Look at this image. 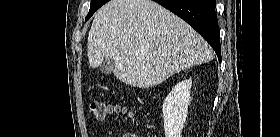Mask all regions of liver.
I'll return each instance as SVG.
<instances>
[{
    "label": "liver",
    "mask_w": 280,
    "mask_h": 137,
    "mask_svg": "<svg viewBox=\"0 0 280 137\" xmlns=\"http://www.w3.org/2000/svg\"><path fill=\"white\" fill-rule=\"evenodd\" d=\"M92 68L105 57L123 83L148 88L213 59L209 44L185 21L152 0H111L95 14L87 42Z\"/></svg>",
    "instance_id": "liver-1"
}]
</instances>
